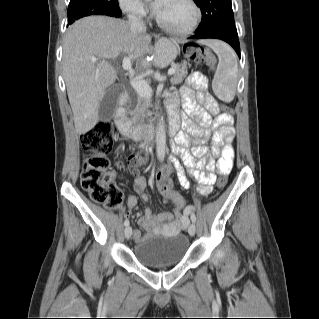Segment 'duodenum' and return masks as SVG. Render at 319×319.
<instances>
[{
	"label": "duodenum",
	"mask_w": 319,
	"mask_h": 319,
	"mask_svg": "<svg viewBox=\"0 0 319 319\" xmlns=\"http://www.w3.org/2000/svg\"><path fill=\"white\" fill-rule=\"evenodd\" d=\"M126 98L122 96L116 112V123L122 135L128 140L137 142L150 141L155 134V127L150 123L133 124L128 116L125 106ZM179 129V121L175 117H170L168 124V134L174 136Z\"/></svg>",
	"instance_id": "1"
}]
</instances>
